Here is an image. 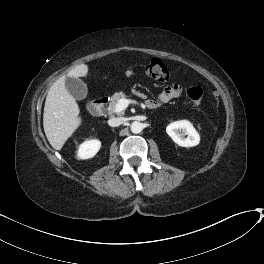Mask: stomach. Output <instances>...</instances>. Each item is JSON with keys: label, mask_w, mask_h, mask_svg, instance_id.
<instances>
[{"label": "stomach", "mask_w": 264, "mask_h": 264, "mask_svg": "<svg viewBox=\"0 0 264 264\" xmlns=\"http://www.w3.org/2000/svg\"><path fill=\"white\" fill-rule=\"evenodd\" d=\"M125 75H126L127 77H131V76L133 75V71L128 70V71H126Z\"/></svg>", "instance_id": "0dacf381"}]
</instances>
